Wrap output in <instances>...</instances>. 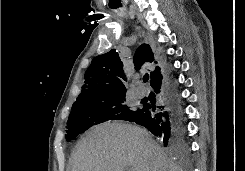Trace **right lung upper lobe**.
Returning <instances> with one entry per match:
<instances>
[{"instance_id":"cb5924a9","label":"right lung upper lobe","mask_w":245,"mask_h":171,"mask_svg":"<svg viewBox=\"0 0 245 171\" xmlns=\"http://www.w3.org/2000/svg\"><path fill=\"white\" fill-rule=\"evenodd\" d=\"M154 60L152 50L149 45H141L135 52V69L139 70L145 62ZM162 73L157 67L151 72V81L156 82ZM126 80L123 71V63L115 49L93 58L91 65L85 73V84L82 86V92L76 101L102 98L117 94L126 93V87L123 81Z\"/></svg>"}]
</instances>
